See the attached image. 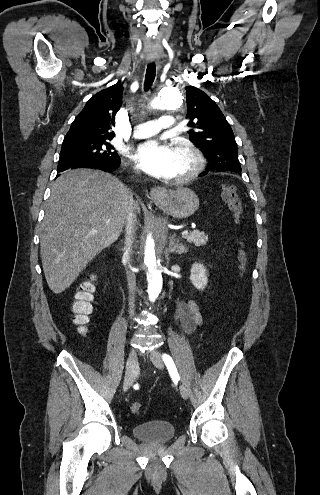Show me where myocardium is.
Segmentation results:
<instances>
[{
    "label": "myocardium",
    "instance_id": "myocardium-1",
    "mask_svg": "<svg viewBox=\"0 0 320 495\" xmlns=\"http://www.w3.org/2000/svg\"><path fill=\"white\" fill-rule=\"evenodd\" d=\"M173 148L183 151L189 158L190 167L180 176L175 178L177 183H185L194 179L204 167V158L199 149L186 139L172 141Z\"/></svg>",
    "mask_w": 320,
    "mask_h": 495
}]
</instances>
